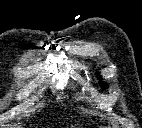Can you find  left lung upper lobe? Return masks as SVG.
<instances>
[{"mask_svg": "<svg viewBox=\"0 0 142 128\" xmlns=\"http://www.w3.org/2000/svg\"><path fill=\"white\" fill-rule=\"evenodd\" d=\"M101 86L104 88V86H107V85L104 82H102Z\"/></svg>", "mask_w": 142, "mask_h": 128, "instance_id": "left-lung-upper-lobe-1", "label": "left lung upper lobe"}]
</instances>
